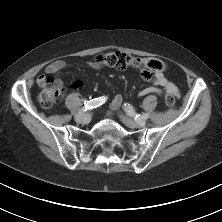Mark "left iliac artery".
<instances>
[{
    "label": "left iliac artery",
    "mask_w": 222,
    "mask_h": 222,
    "mask_svg": "<svg viewBox=\"0 0 222 222\" xmlns=\"http://www.w3.org/2000/svg\"><path fill=\"white\" fill-rule=\"evenodd\" d=\"M124 109L128 115L134 117V119L137 121L146 120L150 116L148 113H145L143 115L136 114L135 111L132 109V107H130L129 104H124Z\"/></svg>",
    "instance_id": "obj_1"
}]
</instances>
